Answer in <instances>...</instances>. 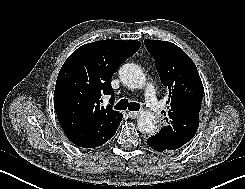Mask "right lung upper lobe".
<instances>
[{
	"instance_id": "cb5924a9",
	"label": "right lung upper lobe",
	"mask_w": 245,
	"mask_h": 189,
	"mask_svg": "<svg viewBox=\"0 0 245 189\" xmlns=\"http://www.w3.org/2000/svg\"><path fill=\"white\" fill-rule=\"evenodd\" d=\"M141 43L136 40H101L85 44L63 64L55 85L54 107L68 139L79 147L99 146L118 129L123 115L100 106L111 95V77L133 56Z\"/></svg>"
}]
</instances>
